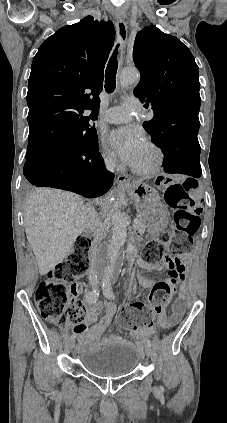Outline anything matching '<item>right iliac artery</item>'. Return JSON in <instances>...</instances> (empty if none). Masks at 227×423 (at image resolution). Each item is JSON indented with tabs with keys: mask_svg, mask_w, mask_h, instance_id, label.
<instances>
[{
	"mask_svg": "<svg viewBox=\"0 0 227 423\" xmlns=\"http://www.w3.org/2000/svg\"><path fill=\"white\" fill-rule=\"evenodd\" d=\"M98 298H99V290L96 289V288L93 289L92 291H89L85 295V301L89 305L96 303V301L98 300ZM76 336L77 335L75 333H73L70 338L71 339H75Z\"/></svg>",
	"mask_w": 227,
	"mask_h": 423,
	"instance_id": "1",
	"label": "right iliac artery"
}]
</instances>
